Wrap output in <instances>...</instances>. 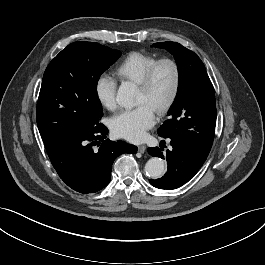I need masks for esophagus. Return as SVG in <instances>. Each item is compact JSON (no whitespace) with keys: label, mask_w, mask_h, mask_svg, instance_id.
<instances>
[{"label":"esophagus","mask_w":265,"mask_h":265,"mask_svg":"<svg viewBox=\"0 0 265 265\" xmlns=\"http://www.w3.org/2000/svg\"><path fill=\"white\" fill-rule=\"evenodd\" d=\"M138 151H139L140 153H144V152L146 151V146H145V145H140V146H138Z\"/></svg>","instance_id":"1"}]
</instances>
